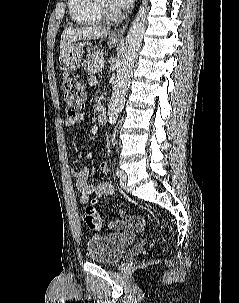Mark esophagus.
Instances as JSON below:
<instances>
[{"label":"esophagus","instance_id":"1","mask_svg":"<svg viewBox=\"0 0 239 303\" xmlns=\"http://www.w3.org/2000/svg\"><path fill=\"white\" fill-rule=\"evenodd\" d=\"M128 28V21L126 23H124L121 27H119L118 29L114 30L111 34L110 37L114 38V39H123L124 37V33Z\"/></svg>","mask_w":239,"mask_h":303}]
</instances>
